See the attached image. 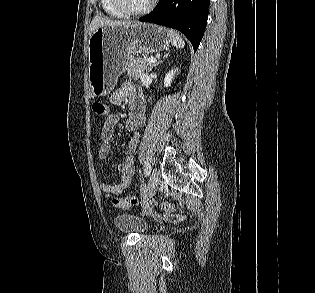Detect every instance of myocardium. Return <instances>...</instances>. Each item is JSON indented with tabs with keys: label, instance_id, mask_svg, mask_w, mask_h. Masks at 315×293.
Segmentation results:
<instances>
[{
	"label": "myocardium",
	"instance_id": "f54148a6",
	"mask_svg": "<svg viewBox=\"0 0 315 293\" xmlns=\"http://www.w3.org/2000/svg\"><path fill=\"white\" fill-rule=\"evenodd\" d=\"M157 0H150L148 5L140 10L131 9L126 0H113L115 7L125 16H141L149 13L156 5Z\"/></svg>",
	"mask_w": 315,
	"mask_h": 293
}]
</instances>
